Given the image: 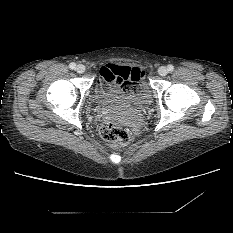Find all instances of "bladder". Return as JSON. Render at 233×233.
Segmentation results:
<instances>
[{"mask_svg": "<svg viewBox=\"0 0 233 233\" xmlns=\"http://www.w3.org/2000/svg\"><path fill=\"white\" fill-rule=\"evenodd\" d=\"M133 72L135 74H140V84L132 92H127L124 89H121L118 85L103 83L98 85V89L101 92L102 100H120L125 99L133 103H141L148 99L150 96V90L146 86L145 71L142 67L136 66L133 67Z\"/></svg>", "mask_w": 233, "mask_h": 233, "instance_id": "31cf9c89", "label": "bladder"}]
</instances>
